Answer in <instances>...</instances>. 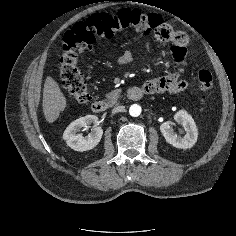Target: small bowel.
Here are the masks:
<instances>
[{"label":"small bowel","mask_w":236,"mask_h":236,"mask_svg":"<svg viewBox=\"0 0 236 236\" xmlns=\"http://www.w3.org/2000/svg\"><path fill=\"white\" fill-rule=\"evenodd\" d=\"M181 39L173 42L172 55L176 64V71L169 75H165L153 80L146 82L143 88L146 94L154 93H178L185 89L186 84L181 79V73L184 71L186 66V52H187V38L184 34L180 33ZM146 51L149 55H152L150 43H146ZM133 55L130 50L124 51L116 60L117 65L123 66L132 61Z\"/></svg>","instance_id":"obj_1"}]
</instances>
